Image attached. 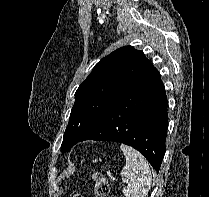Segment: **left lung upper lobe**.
<instances>
[{
	"label": "left lung upper lobe",
	"instance_id": "obj_1",
	"mask_svg": "<svg viewBox=\"0 0 209 197\" xmlns=\"http://www.w3.org/2000/svg\"><path fill=\"white\" fill-rule=\"evenodd\" d=\"M152 68L144 53L133 46L121 47L101 59L75 93L61 151L78 143L109 106Z\"/></svg>",
	"mask_w": 209,
	"mask_h": 197
}]
</instances>
